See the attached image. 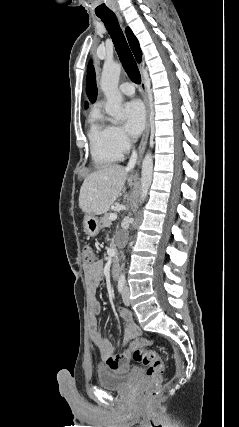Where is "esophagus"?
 <instances>
[{
  "instance_id": "1",
  "label": "esophagus",
  "mask_w": 239,
  "mask_h": 427,
  "mask_svg": "<svg viewBox=\"0 0 239 427\" xmlns=\"http://www.w3.org/2000/svg\"><path fill=\"white\" fill-rule=\"evenodd\" d=\"M117 16H118V19L120 20V22H122V17L120 16V14H117ZM141 90H142L144 103L146 106V126H145V130L143 132V135H142L139 147H138L139 157H141L144 153V150H145V147H146V144L148 141L149 131H150V107H149L147 87H146L144 77H142V81H141Z\"/></svg>"
}]
</instances>
